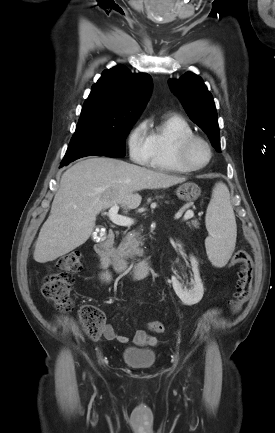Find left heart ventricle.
I'll return each instance as SVG.
<instances>
[{"instance_id":"left-heart-ventricle-1","label":"left heart ventricle","mask_w":275,"mask_h":433,"mask_svg":"<svg viewBox=\"0 0 275 433\" xmlns=\"http://www.w3.org/2000/svg\"><path fill=\"white\" fill-rule=\"evenodd\" d=\"M189 156L192 162L202 164L208 159V150L202 143H195L190 149Z\"/></svg>"}]
</instances>
